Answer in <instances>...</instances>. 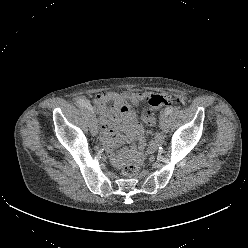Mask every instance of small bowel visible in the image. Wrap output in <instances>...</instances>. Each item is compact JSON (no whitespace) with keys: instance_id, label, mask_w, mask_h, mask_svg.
Returning <instances> with one entry per match:
<instances>
[{"instance_id":"obj_1","label":"small bowel","mask_w":248,"mask_h":248,"mask_svg":"<svg viewBox=\"0 0 248 248\" xmlns=\"http://www.w3.org/2000/svg\"><path fill=\"white\" fill-rule=\"evenodd\" d=\"M149 97L142 93L108 91L99 93L94 98V104L100 113L102 140L107 147L111 162L116 166H120L124 160L123 156L117 154L114 149L116 142L133 138L138 140V146L132 147V152L142 151L145 148L143 129L132 106ZM156 143L157 139L150 146V150L155 147Z\"/></svg>"}]
</instances>
